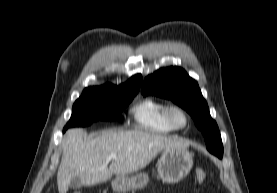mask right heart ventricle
I'll list each match as a JSON object with an SVG mask.
<instances>
[{
    "label": "right heart ventricle",
    "instance_id": "obj_1",
    "mask_svg": "<svg viewBox=\"0 0 277 193\" xmlns=\"http://www.w3.org/2000/svg\"><path fill=\"white\" fill-rule=\"evenodd\" d=\"M168 104L153 98H147L131 109L135 125L140 130L154 134H168L175 130L166 118Z\"/></svg>",
    "mask_w": 277,
    "mask_h": 193
}]
</instances>
